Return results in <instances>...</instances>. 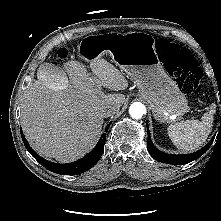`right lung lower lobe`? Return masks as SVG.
Instances as JSON below:
<instances>
[{"mask_svg":"<svg viewBox=\"0 0 221 221\" xmlns=\"http://www.w3.org/2000/svg\"><path fill=\"white\" fill-rule=\"evenodd\" d=\"M109 126L110 124L106 127L105 132H107V130L109 129ZM20 132H21L22 140L28 152L46 169L54 173L61 174V175H76V174L83 173L89 170L91 167H93L102 156V153L104 151L105 141H106V133H104L101 139L99 140V142L97 143V145L95 146V148L83 158L72 163L57 164V163L50 162L40 157L30 147L21 129H20Z\"/></svg>","mask_w":221,"mask_h":221,"instance_id":"1","label":"right lung lower lobe"}]
</instances>
